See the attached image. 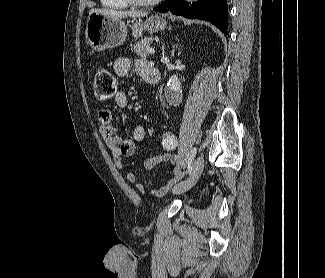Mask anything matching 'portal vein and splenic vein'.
Returning <instances> with one entry per match:
<instances>
[{"instance_id":"18ae733b","label":"portal vein and splenic vein","mask_w":325,"mask_h":278,"mask_svg":"<svg viewBox=\"0 0 325 278\" xmlns=\"http://www.w3.org/2000/svg\"><path fill=\"white\" fill-rule=\"evenodd\" d=\"M154 52H155L154 48H150V49L148 50V53H149L150 55L154 54Z\"/></svg>"}]
</instances>
